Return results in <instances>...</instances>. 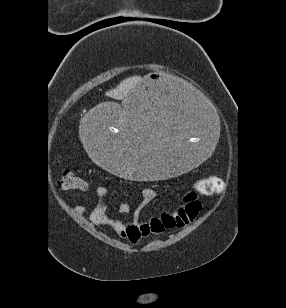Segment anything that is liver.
<instances>
[{
	"label": "liver",
	"mask_w": 286,
	"mask_h": 308,
	"mask_svg": "<svg viewBox=\"0 0 286 308\" xmlns=\"http://www.w3.org/2000/svg\"><path fill=\"white\" fill-rule=\"evenodd\" d=\"M140 79L141 78L139 76L129 77L123 80L115 89H112L106 93L108 96L114 99L125 100L124 111H121V109L118 107V113L122 122L127 119L126 98L128 97L129 93L135 88ZM98 116H101L100 113Z\"/></svg>",
	"instance_id": "liver-1"
}]
</instances>
